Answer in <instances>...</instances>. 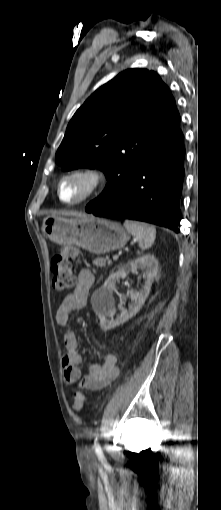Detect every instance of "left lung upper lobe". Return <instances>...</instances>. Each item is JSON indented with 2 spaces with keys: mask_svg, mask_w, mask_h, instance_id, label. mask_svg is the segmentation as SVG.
<instances>
[{
  "mask_svg": "<svg viewBox=\"0 0 221 510\" xmlns=\"http://www.w3.org/2000/svg\"><path fill=\"white\" fill-rule=\"evenodd\" d=\"M180 115L157 73L128 69L97 89L76 111L57 150L63 170L99 167L108 183L101 207L128 185L144 158L179 136Z\"/></svg>",
  "mask_w": 221,
  "mask_h": 510,
  "instance_id": "left-lung-upper-lobe-1",
  "label": "left lung upper lobe"
}]
</instances>
